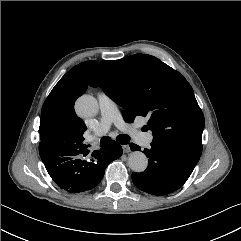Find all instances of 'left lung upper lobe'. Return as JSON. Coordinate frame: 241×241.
Instances as JSON below:
<instances>
[{
  "mask_svg": "<svg viewBox=\"0 0 241 241\" xmlns=\"http://www.w3.org/2000/svg\"><path fill=\"white\" fill-rule=\"evenodd\" d=\"M90 85L103 88L122 106L127 122L147 116L144 128L153 132V142L201 156L205 120L193 89L182 74L156 57L136 54L102 61Z\"/></svg>",
  "mask_w": 241,
  "mask_h": 241,
  "instance_id": "5c2ea615",
  "label": "left lung upper lobe"
}]
</instances>
